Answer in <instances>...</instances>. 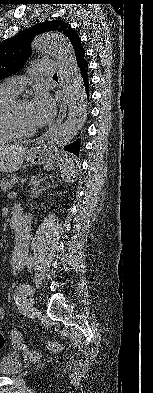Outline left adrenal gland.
Segmentation results:
<instances>
[{
  "label": "left adrenal gland",
  "instance_id": "1",
  "mask_svg": "<svg viewBox=\"0 0 153 393\" xmlns=\"http://www.w3.org/2000/svg\"><path fill=\"white\" fill-rule=\"evenodd\" d=\"M41 181L42 180H39L38 182H36V184H34V188H33V196L34 197H37L40 194V192H41V189L37 191V188L40 185Z\"/></svg>",
  "mask_w": 153,
  "mask_h": 393
}]
</instances>
